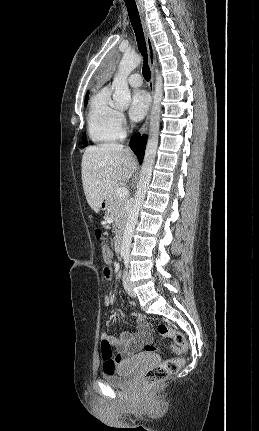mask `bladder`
Listing matches in <instances>:
<instances>
[{
	"label": "bladder",
	"mask_w": 259,
	"mask_h": 431,
	"mask_svg": "<svg viewBox=\"0 0 259 431\" xmlns=\"http://www.w3.org/2000/svg\"><path fill=\"white\" fill-rule=\"evenodd\" d=\"M137 369V364L134 362L120 365L116 370L108 372L104 371L102 378L109 384L122 386L132 378Z\"/></svg>",
	"instance_id": "obj_1"
}]
</instances>
